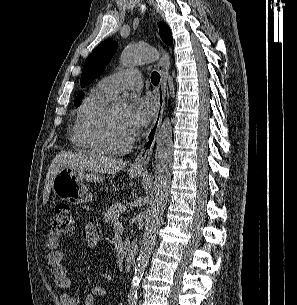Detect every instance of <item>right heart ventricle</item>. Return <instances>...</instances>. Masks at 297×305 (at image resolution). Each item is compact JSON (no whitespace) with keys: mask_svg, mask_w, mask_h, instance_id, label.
Instances as JSON below:
<instances>
[{"mask_svg":"<svg viewBox=\"0 0 297 305\" xmlns=\"http://www.w3.org/2000/svg\"><path fill=\"white\" fill-rule=\"evenodd\" d=\"M110 97L111 95L97 85L76 109L71 128V142L77 150L91 154L106 152L95 134V124Z\"/></svg>","mask_w":297,"mask_h":305,"instance_id":"1","label":"right heart ventricle"}]
</instances>
